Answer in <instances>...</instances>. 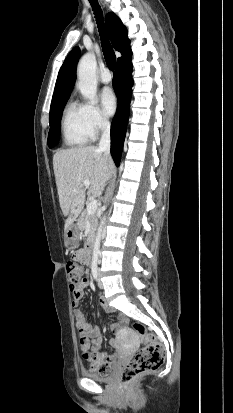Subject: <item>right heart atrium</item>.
<instances>
[{
    "label": "right heart atrium",
    "instance_id": "d8ad5b80",
    "mask_svg": "<svg viewBox=\"0 0 233 413\" xmlns=\"http://www.w3.org/2000/svg\"><path fill=\"white\" fill-rule=\"evenodd\" d=\"M84 112L87 126L93 137L97 136L109 126L107 117L98 106L86 104L84 105Z\"/></svg>",
    "mask_w": 233,
    "mask_h": 413
}]
</instances>
